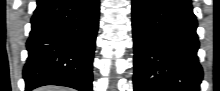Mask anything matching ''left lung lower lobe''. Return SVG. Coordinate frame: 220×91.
<instances>
[{"label":"left lung lower lobe","instance_id":"1","mask_svg":"<svg viewBox=\"0 0 220 91\" xmlns=\"http://www.w3.org/2000/svg\"><path fill=\"white\" fill-rule=\"evenodd\" d=\"M197 20L190 0H132L134 91H199Z\"/></svg>","mask_w":220,"mask_h":91}]
</instances>
